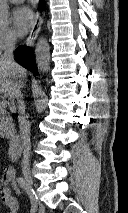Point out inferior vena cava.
Instances as JSON below:
<instances>
[{
  "label": "inferior vena cava",
  "instance_id": "inferior-vena-cava-1",
  "mask_svg": "<svg viewBox=\"0 0 128 213\" xmlns=\"http://www.w3.org/2000/svg\"><path fill=\"white\" fill-rule=\"evenodd\" d=\"M15 48V38L8 37L5 44V51L2 55L1 59L5 61L10 67L19 72L20 66L14 62L13 58V51ZM10 97L15 98L17 100V108H18V122L20 128V136L22 141L23 147V160L22 163L24 166L29 165V158H30V125L27 120V116L25 115V103L23 101V95L21 93V86H16L11 92Z\"/></svg>",
  "mask_w": 128,
  "mask_h": 213
}]
</instances>
